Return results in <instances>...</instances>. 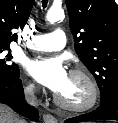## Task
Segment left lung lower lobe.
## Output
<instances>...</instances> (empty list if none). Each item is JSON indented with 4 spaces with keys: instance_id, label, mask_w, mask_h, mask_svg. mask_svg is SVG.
Here are the masks:
<instances>
[{
    "instance_id": "obj_1",
    "label": "left lung lower lobe",
    "mask_w": 118,
    "mask_h": 123,
    "mask_svg": "<svg viewBox=\"0 0 118 123\" xmlns=\"http://www.w3.org/2000/svg\"><path fill=\"white\" fill-rule=\"evenodd\" d=\"M113 119L118 120V90H116L95 111L65 120V123H78L89 120Z\"/></svg>"
}]
</instances>
